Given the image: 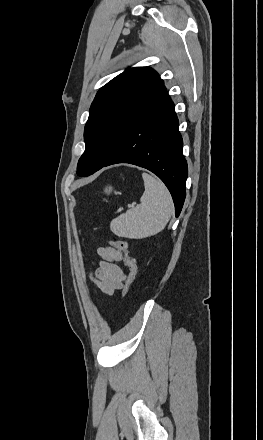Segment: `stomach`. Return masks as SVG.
<instances>
[{
    "label": "stomach",
    "mask_w": 263,
    "mask_h": 440,
    "mask_svg": "<svg viewBox=\"0 0 263 440\" xmlns=\"http://www.w3.org/2000/svg\"><path fill=\"white\" fill-rule=\"evenodd\" d=\"M112 187L111 186H107L105 189H104V192L106 193V194H110L111 192H112Z\"/></svg>",
    "instance_id": "stomach-1"
}]
</instances>
